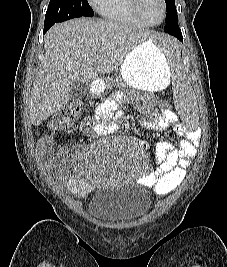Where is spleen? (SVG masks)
<instances>
[{"mask_svg":"<svg viewBox=\"0 0 227 267\" xmlns=\"http://www.w3.org/2000/svg\"><path fill=\"white\" fill-rule=\"evenodd\" d=\"M154 47H161L162 55H168L172 59L174 67H170L171 81H192V76H188L187 63H179L181 59L182 46L180 42H175V36H167L161 33L160 36H152ZM174 87L173 98H187V100H173V105H196L194 93L191 92L192 82H171ZM177 115H199L198 106H175ZM180 125L183 129H202L199 124L200 116H179Z\"/></svg>","mask_w":227,"mask_h":267,"instance_id":"1","label":"spleen"}]
</instances>
